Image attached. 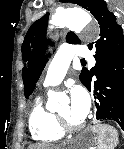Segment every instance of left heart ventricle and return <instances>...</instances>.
Instances as JSON below:
<instances>
[{
    "label": "left heart ventricle",
    "instance_id": "left-heart-ventricle-1",
    "mask_svg": "<svg viewBox=\"0 0 124 149\" xmlns=\"http://www.w3.org/2000/svg\"><path fill=\"white\" fill-rule=\"evenodd\" d=\"M58 113H60L62 116H64L69 122L73 124L80 123L82 120L72 117L70 112V104L67 102L63 104L59 110Z\"/></svg>",
    "mask_w": 124,
    "mask_h": 149
}]
</instances>
